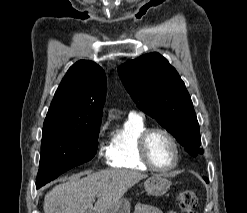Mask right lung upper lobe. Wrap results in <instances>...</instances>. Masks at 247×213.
<instances>
[{
  "mask_svg": "<svg viewBox=\"0 0 247 213\" xmlns=\"http://www.w3.org/2000/svg\"><path fill=\"white\" fill-rule=\"evenodd\" d=\"M105 97L104 70L92 61L80 60L61 81L44 126H100Z\"/></svg>",
  "mask_w": 247,
  "mask_h": 213,
  "instance_id": "1",
  "label": "right lung upper lobe"
}]
</instances>
